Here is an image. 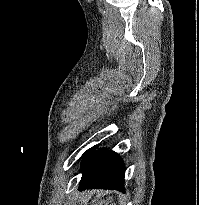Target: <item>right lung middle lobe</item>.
Returning a JSON list of instances; mask_svg holds the SVG:
<instances>
[{"instance_id": "obj_1", "label": "right lung middle lobe", "mask_w": 199, "mask_h": 205, "mask_svg": "<svg viewBox=\"0 0 199 205\" xmlns=\"http://www.w3.org/2000/svg\"><path fill=\"white\" fill-rule=\"evenodd\" d=\"M97 148V146L92 147L91 149L87 150L81 158L85 157L87 154H89L90 152H92L93 150H95Z\"/></svg>"}]
</instances>
